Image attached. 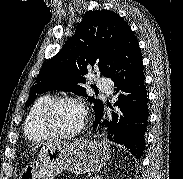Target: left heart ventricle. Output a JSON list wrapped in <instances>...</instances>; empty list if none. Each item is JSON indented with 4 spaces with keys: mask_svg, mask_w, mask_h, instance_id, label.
Instances as JSON below:
<instances>
[{
    "mask_svg": "<svg viewBox=\"0 0 183 179\" xmlns=\"http://www.w3.org/2000/svg\"><path fill=\"white\" fill-rule=\"evenodd\" d=\"M82 121V112L73 103L58 104L48 118V126L57 133H69L75 130Z\"/></svg>",
    "mask_w": 183,
    "mask_h": 179,
    "instance_id": "obj_1",
    "label": "left heart ventricle"
}]
</instances>
